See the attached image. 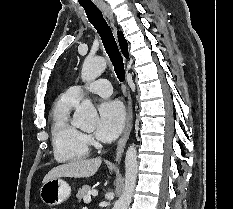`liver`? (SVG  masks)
I'll return each instance as SVG.
<instances>
[{
	"mask_svg": "<svg viewBox=\"0 0 233 209\" xmlns=\"http://www.w3.org/2000/svg\"><path fill=\"white\" fill-rule=\"evenodd\" d=\"M100 158L89 160H78L52 168L44 177L43 183L60 177L87 178L93 176L100 167Z\"/></svg>",
	"mask_w": 233,
	"mask_h": 209,
	"instance_id": "liver-1",
	"label": "liver"
}]
</instances>
